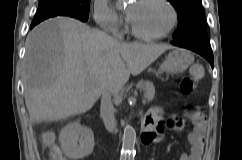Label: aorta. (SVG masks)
Wrapping results in <instances>:
<instances>
[{"mask_svg":"<svg viewBox=\"0 0 242 160\" xmlns=\"http://www.w3.org/2000/svg\"><path fill=\"white\" fill-rule=\"evenodd\" d=\"M135 141H136V132L132 126L127 125L124 129L123 145H122V150L125 154L130 153L134 149Z\"/></svg>","mask_w":242,"mask_h":160,"instance_id":"1","label":"aorta"}]
</instances>
